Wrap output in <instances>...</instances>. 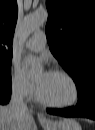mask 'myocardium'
<instances>
[{
	"mask_svg": "<svg viewBox=\"0 0 95 130\" xmlns=\"http://www.w3.org/2000/svg\"><path fill=\"white\" fill-rule=\"evenodd\" d=\"M50 73L63 75L70 81V83L72 84V86L74 88V99L71 102L65 103V104L49 101L42 95L39 86H37L38 100L46 106L56 107V108H68V107H72V106L76 105L80 98V90H79V86H78L76 80L68 72H66L63 69L55 68V69L50 70Z\"/></svg>",
	"mask_w": 95,
	"mask_h": 130,
	"instance_id": "1",
	"label": "myocardium"
}]
</instances>
